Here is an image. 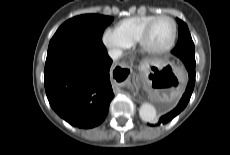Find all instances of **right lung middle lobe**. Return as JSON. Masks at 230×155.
Returning <instances> with one entry per match:
<instances>
[{
  "label": "right lung middle lobe",
  "instance_id": "right-lung-middle-lobe-1",
  "mask_svg": "<svg viewBox=\"0 0 230 155\" xmlns=\"http://www.w3.org/2000/svg\"><path fill=\"white\" fill-rule=\"evenodd\" d=\"M112 21V17L98 14H85L67 20L50 40L47 58L64 52L106 50L102 34Z\"/></svg>",
  "mask_w": 230,
  "mask_h": 155
}]
</instances>
